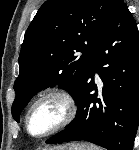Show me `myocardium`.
<instances>
[{
  "label": "myocardium",
  "instance_id": "1",
  "mask_svg": "<svg viewBox=\"0 0 139 150\" xmlns=\"http://www.w3.org/2000/svg\"><path fill=\"white\" fill-rule=\"evenodd\" d=\"M49 98H55V99H58L61 101V103L63 104L64 110H65L64 116L61 119V121L57 125H55L52 129H50L49 131H47L41 135H34L31 133L30 126H29L31 113L33 112L34 108L40 102H42L46 99H49ZM77 112H78L77 102L71 93H69L68 91H65V90H60V89H53V90L46 91V92L42 93L41 95H39L33 101V103L30 105V107L26 113V116H25L26 131L33 138H36V139L46 138L48 136H51V135L61 131L62 129H64L68 125H70L72 123V121L75 119Z\"/></svg>",
  "mask_w": 139,
  "mask_h": 150
}]
</instances>
